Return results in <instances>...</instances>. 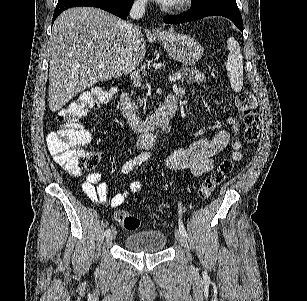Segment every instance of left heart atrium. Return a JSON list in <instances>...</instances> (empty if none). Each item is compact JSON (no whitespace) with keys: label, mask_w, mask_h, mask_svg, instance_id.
I'll list each match as a JSON object with an SVG mask.
<instances>
[{"label":"left heart atrium","mask_w":307,"mask_h":301,"mask_svg":"<svg viewBox=\"0 0 307 301\" xmlns=\"http://www.w3.org/2000/svg\"><path fill=\"white\" fill-rule=\"evenodd\" d=\"M159 4H176L177 0H158ZM123 62H137V61H123Z\"/></svg>","instance_id":"1"}]
</instances>
